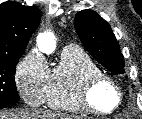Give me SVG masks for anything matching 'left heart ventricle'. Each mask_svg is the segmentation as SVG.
Here are the masks:
<instances>
[{"label":"left heart ventricle","instance_id":"b2bd125f","mask_svg":"<svg viewBox=\"0 0 142 119\" xmlns=\"http://www.w3.org/2000/svg\"><path fill=\"white\" fill-rule=\"evenodd\" d=\"M93 100L99 108L109 109L116 102V94L108 85H102L95 89Z\"/></svg>","mask_w":142,"mask_h":119}]
</instances>
